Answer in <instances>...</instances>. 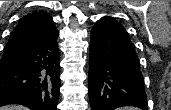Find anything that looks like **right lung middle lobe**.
Returning a JSON list of instances; mask_svg holds the SVG:
<instances>
[{
    "mask_svg": "<svg viewBox=\"0 0 171 110\" xmlns=\"http://www.w3.org/2000/svg\"><path fill=\"white\" fill-rule=\"evenodd\" d=\"M20 60V55L3 56L0 60V69L7 68Z\"/></svg>",
    "mask_w": 171,
    "mask_h": 110,
    "instance_id": "dd1d6c3e",
    "label": "right lung middle lobe"
}]
</instances>
